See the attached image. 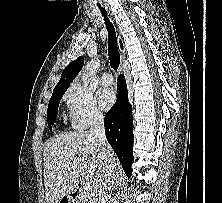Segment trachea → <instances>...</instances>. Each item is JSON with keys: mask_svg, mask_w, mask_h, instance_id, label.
<instances>
[{"mask_svg": "<svg viewBox=\"0 0 222 203\" xmlns=\"http://www.w3.org/2000/svg\"><path fill=\"white\" fill-rule=\"evenodd\" d=\"M98 8L100 9L104 20H105V25L108 31V55H109V60H110V65L114 70H117L120 64V55L118 52V47H117V38H116V32L115 28L110 22V20L107 18V13L106 11L101 8L100 5H98Z\"/></svg>", "mask_w": 222, "mask_h": 203, "instance_id": "1", "label": "trachea"}]
</instances>
